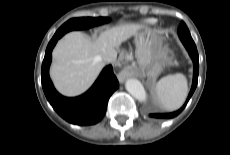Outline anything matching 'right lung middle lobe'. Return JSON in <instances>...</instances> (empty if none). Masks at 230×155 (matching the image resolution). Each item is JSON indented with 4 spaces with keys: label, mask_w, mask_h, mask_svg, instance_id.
I'll return each mask as SVG.
<instances>
[{
    "label": "right lung middle lobe",
    "mask_w": 230,
    "mask_h": 155,
    "mask_svg": "<svg viewBox=\"0 0 230 155\" xmlns=\"http://www.w3.org/2000/svg\"><path fill=\"white\" fill-rule=\"evenodd\" d=\"M110 19L107 17H82L73 18L64 23L54 35L63 36L65 33L71 30L87 29L93 26L101 25L109 22Z\"/></svg>",
    "instance_id": "right-lung-middle-lobe-1"
}]
</instances>
